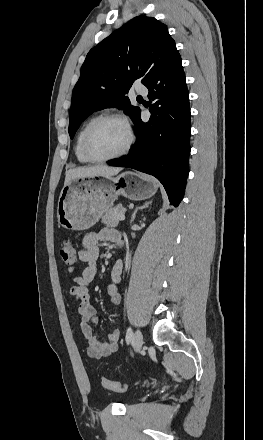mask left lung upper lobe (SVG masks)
I'll return each instance as SVG.
<instances>
[{"mask_svg": "<svg viewBox=\"0 0 263 440\" xmlns=\"http://www.w3.org/2000/svg\"><path fill=\"white\" fill-rule=\"evenodd\" d=\"M177 54L166 25L153 17L137 16L101 41L87 54L73 90L70 137L85 118L105 107L125 109L134 120L140 108L131 106L125 94L137 79L149 84Z\"/></svg>", "mask_w": 263, "mask_h": 440, "instance_id": "obj_1", "label": "left lung upper lobe"}]
</instances>
